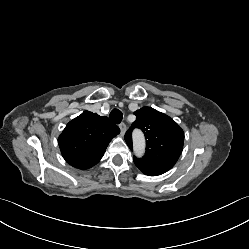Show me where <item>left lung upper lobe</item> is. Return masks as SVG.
Listing matches in <instances>:
<instances>
[{
    "label": "left lung upper lobe",
    "instance_id": "left-lung-upper-lobe-1",
    "mask_svg": "<svg viewBox=\"0 0 249 249\" xmlns=\"http://www.w3.org/2000/svg\"><path fill=\"white\" fill-rule=\"evenodd\" d=\"M136 116L125 140L132 150V130L140 128L146 137V154L137 159L136 166L146 175L157 176L170 170L181 155L184 132L169 116L151 108L143 107L134 112Z\"/></svg>",
    "mask_w": 249,
    "mask_h": 249
}]
</instances>
